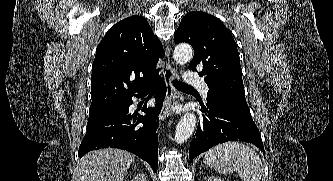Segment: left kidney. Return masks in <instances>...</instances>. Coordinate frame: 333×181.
<instances>
[{"instance_id": "obj_1", "label": "left kidney", "mask_w": 333, "mask_h": 181, "mask_svg": "<svg viewBox=\"0 0 333 181\" xmlns=\"http://www.w3.org/2000/svg\"><path fill=\"white\" fill-rule=\"evenodd\" d=\"M206 181H224V180L220 177L210 176L207 178Z\"/></svg>"}]
</instances>
